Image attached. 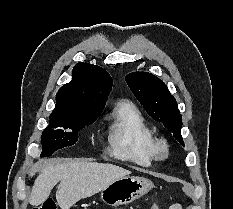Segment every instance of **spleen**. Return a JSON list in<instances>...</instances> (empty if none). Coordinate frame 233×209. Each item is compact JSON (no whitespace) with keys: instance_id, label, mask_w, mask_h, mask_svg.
<instances>
[{"instance_id":"1","label":"spleen","mask_w":233,"mask_h":209,"mask_svg":"<svg viewBox=\"0 0 233 209\" xmlns=\"http://www.w3.org/2000/svg\"><path fill=\"white\" fill-rule=\"evenodd\" d=\"M170 209H182L180 204H174L170 207Z\"/></svg>"}]
</instances>
